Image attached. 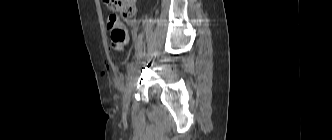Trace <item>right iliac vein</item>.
Here are the masks:
<instances>
[{"label": "right iliac vein", "instance_id": "right-iliac-vein-1", "mask_svg": "<svg viewBox=\"0 0 332 140\" xmlns=\"http://www.w3.org/2000/svg\"><path fill=\"white\" fill-rule=\"evenodd\" d=\"M133 88H134V73L132 72L129 76V82L123 98V105L125 109L129 108Z\"/></svg>", "mask_w": 332, "mask_h": 140}]
</instances>
